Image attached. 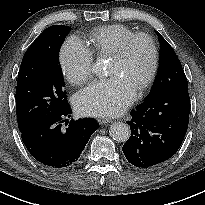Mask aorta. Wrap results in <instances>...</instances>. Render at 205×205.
I'll return each instance as SVG.
<instances>
[{
	"label": "aorta",
	"mask_w": 205,
	"mask_h": 205,
	"mask_svg": "<svg viewBox=\"0 0 205 205\" xmlns=\"http://www.w3.org/2000/svg\"><path fill=\"white\" fill-rule=\"evenodd\" d=\"M93 70L97 75H102L104 73V67L100 62L95 64ZM109 135L117 142H125L130 137V128L125 123L115 122L110 126Z\"/></svg>",
	"instance_id": "aorta-1"
}]
</instances>
